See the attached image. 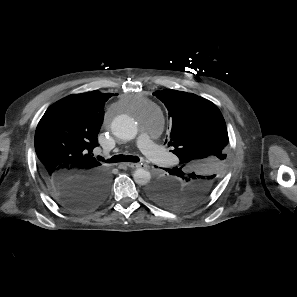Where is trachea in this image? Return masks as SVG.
<instances>
[{
	"mask_svg": "<svg viewBox=\"0 0 297 297\" xmlns=\"http://www.w3.org/2000/svg\"><path fill=\"white\" fill-rule=\"evenodd\" d=\"M139 157L131 155H115L110 159L105 160L106 163H118V162H139Z\"/></svg>",
	"mask_w": 297,
	"mask_h": 297,
	"instance_id": "obj_1",
	"label": "trachea"
}]
</instances>
